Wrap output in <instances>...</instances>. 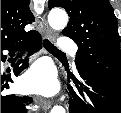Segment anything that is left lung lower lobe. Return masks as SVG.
Masks as SVG:
<instances>
[{
    "mask_svg": "<svg viewBox=\"0 0 121 113\" xmlns=\"http://www.w3.org/2000/svg\"><path fill=\"white\" fill-rule=\"evenodd\" d=\"M81 80L68 75L76 85V91L68 85L72 94L69 113H121V90L103 77L90 72H79Z\"/></svg>",
    "mask_w": 121,
    "mask_h": 113,
    "instance_id": "obj_1",
    "label": "left lung lower lobe"
}]
</instances>
